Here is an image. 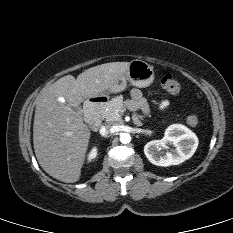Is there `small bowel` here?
<instances>
[{
  "label": "small bowel",
  "mask_w": 233,
  "mask_h": 233,
  "mask_svg": "<svg viewBox=\"0 0 233 233\" xmlns=\"http://www.w3.org/2000/svg\"><path fill=\"white\" fill-rule=\"evenodd\" d=\"M131 95V101H130V106L134 109H139L142 112H148L149 107L148 104L145 100V98L142 95V92L139 89H132L130 92ZM169 105L168 100H162L159 107L161 109L167 107Z\"/></svg>",
  "instance_id": "obj_1"
}]
</instances>
